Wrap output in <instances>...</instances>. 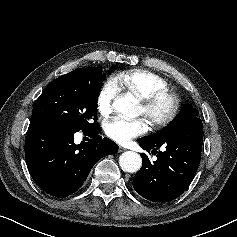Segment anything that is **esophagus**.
I'll return each instance as SVG.
<instances>
[{"label":"esophagus","mask_w":237,"mask_h":237,"mask_svg":"<svg viewBox=\"0 0 237 237\" xmlns=\"http://www.w3.org/2000/svg\"><path fill=\"white\" fill-rule=\"evenodd\" d=\"M125 150H126L125 147H123V146H119V152H124Z\"/></svg>","instance_id":"obj_1"}]
</instances>
